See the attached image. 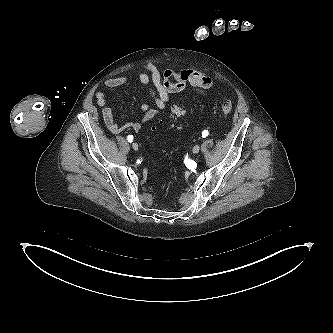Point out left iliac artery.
<instances>
[{
	"label": "left iliac artery",
	"instance_id": "44dca946",
	"mask_svg": "<svg viewBox=\"0 0 333 333\" xmlns=\"http://www.w3.org/2000/svg\"><path fill=\"white\" fill-rule=\"evenodd\" d=\"M208 134H209V132H208V130H204L203 132H202V137H207L208 136Z\"/></svg>",
	"mask_w": 333,
	"mask_h": 333
}]
</instances>
